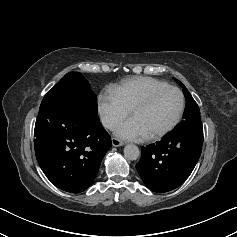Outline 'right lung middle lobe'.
Here are the masks:
<instances>
[{"label": "right lung middle lobe", "instance_id": "1", "mask_svg": "<svg viewBox=\"0 0 237 237\" xmlns=\"http://www.w3.org/2000/svg\"><path fill=\"white\" fill-rule=\"evenodd\" d=\"M46 95L56 96L78 112L96 116L97 97L89 82L77 72L67 73Z\"/></svg>", "mask_w": 237, "mask_h": 237}]
</instances>
